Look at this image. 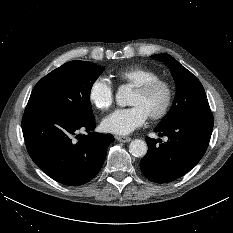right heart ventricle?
Masks as SVG:
<instances>
[{"label":"right heart ventricle","instance_id":"e07e8e85","mask_svg":"<svg viewBox=\"0 0 233 233\" xmlns=\"http://www.w3.org/2000/svg\"><path fill=\"white\" fill-rule=\"evenodd\" d=\"M115 79L122 84L137 87L145 82L159 78L154 70L141 65L123 68L114 73Z\"/></svg>","mask_w":233,"mask_h":233}]
</instances>
